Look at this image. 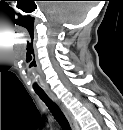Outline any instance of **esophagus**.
Listing matches in <instances>:
<instances>
[{
  "mask_svg": "<svg viewBox=\"0 0 123 130\" xmlns=\"http://www.w3.org/2000/svg\"><path fill=\"white\" fill-rule=\"evenodd\" d=\"M50 96L58 104V106L64 113L65 117L67 118V120L71 126V129L78 130L79 129L78 124H77L76 120L74 119L73 115L71 114V112L69 111V109L65 106V104L62 101H60L59 99H57V97L54 96L53 94H50Z\"/></svg>",
  "mask_w": 123,
  "mask_h": 130,
  "instance_id": "34e87169",
  "label": "esophagus"
}]
</instances>
